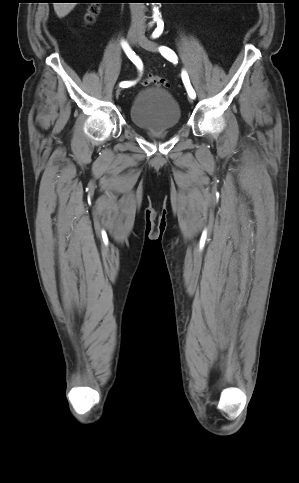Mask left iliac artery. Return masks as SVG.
<instances>
[{
  "label": "left iliac artery",
  "instance_id": "44dca946",
  "mask_svg": "<svg viewBox=\"0 0 299 483\" xmlns=\"http://www.w3.org/2000/svg\"><path fill=\"white\" fill-rule=\"evenodd\" d=\"M159 27H160V25H158V28L154 31V33L152 35L153 38H156V37H158L160 35L161 30L159 29ZM159 51L169 61H176L177 60V55L170 48H168L166 46H161L159 48ZM182 81H183V83H184V85L186 87V90L188 92L189 97L192 98V99H194L196 97V93H195L193 87L190 84V80H189L188 74L184 70L182 71Z\"/></svg>",
  "mask_w": 299,
  "mask_h": 483
}]
</instances>
